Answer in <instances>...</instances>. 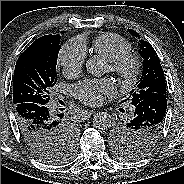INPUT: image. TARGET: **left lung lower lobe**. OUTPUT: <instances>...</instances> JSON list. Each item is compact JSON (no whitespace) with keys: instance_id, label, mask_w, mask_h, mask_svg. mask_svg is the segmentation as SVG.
I'll return each instance as SVG.
<instances>
[{"instance_id":"left-lung-lower-lobe-1","label":"left lung lower lobe","mask_w":184,"mask_h":184,"mask_svg":"<svg viewBox=\"0 0 184 184\" xmlns=\"http://www.w3.org/2000/svg\"><path fill=\"white\" fill-rule=\"evenodd\" d=\"M166 109V95L154 94L136 105L134 117L129 121V124L133 127H157V136L153 139L155 141L162 132ZM147 143V141H140L134 145L136 149L144 150Z\"/></svg>"}]
</instances>
